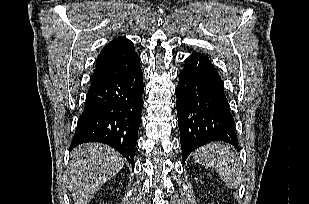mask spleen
Masks as SVG:
<instances>
[{
  "instance_id": "1",
  "label": "spleen",
  "mask_w": 309,
  "mask_h": 204,
  "mask_svg": "<svg viewBox=\"0 0 309 204\" xmlns=\"http://www.w3.org/2000/svg\"><path fill=\"white\" fill-rule=\"evenodd\" d=\"M197 163L215 169L230 188H238L242 169L230 146L212 143L197 149L194 153Z\"/></svg>"
}]
</instances>
